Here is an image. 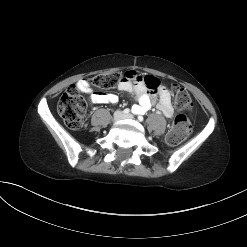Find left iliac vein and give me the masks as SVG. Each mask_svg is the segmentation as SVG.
Wrapping results in <instances>:
<instances>
[{"mask_svg":"<svg viewBox=\"0 0 247 247\" xmlns=\"http://www.w3.org/2000/svg\"><path fill=\"white\" fill-rule=\"evenodd\" d=\"M124 118H126V119H132L133 116L131 114H127V115L124 116Z\"/></svg>","mask_w":247,"mask_h":247,"instance_id":"4c4485c4","label":"left iliac vein"}]
</instances>
